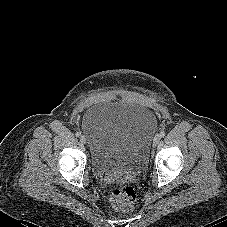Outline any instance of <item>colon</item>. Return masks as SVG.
Instances as JSON below:
<instances>
[{"instance_id": "5ec220e1", "label": "colon", "mask_w": 227, "mask_h": 227, "mask_svg": "<svg viewBox=\"0 0 227 227\" xmlns=\"http://www.w3.org/2000/svg\"><path fill=\"white\" fill-rule=\"evenodd\" d=\"M137 198V191L133 186L119 184L112 188L109 203L115 211L128 213L134 208Z\"/></svg>"}]
</instances>
